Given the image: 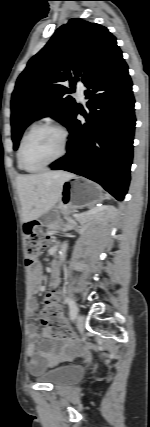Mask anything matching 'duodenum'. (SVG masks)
I'll return each mask as SVG.
<instances>
[{
    "instance_id": "1",
    "label": "duodenum",
    "mask_w": 150,
    "mask_h": 427,
    "mask_svg": "<svg viewBox=\"0 0 150 427\" xmlns=\"http://www.w3.org/2000/svg\"><path fill=\"white\" fill-rule=\"evenodd\" d=\"M53 269L56 270L57 269V262H53Z\"/></svg>"
}]
</instances>
